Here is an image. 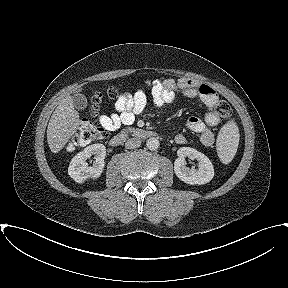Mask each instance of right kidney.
I'll use <instances>...</instances> for the list:
<instances>
[{"label":"right kidney","instance_id":"ca27d5eb","mask_svg":"<svg viewBox=\"0 0 288 288\" xmlns=\"http://www.w3.org/2000/svg\"><path fill=\"white\" fill-rule=\"evenodd\" d=\"M94 156V163L88 166L87 159ZM106 147L103 144H92L75 155L69 165L68 174L77 183H82L88 178H98L104 168Z\"/></svg>","mask_w":288,"mask_h":288}]
</instances>
